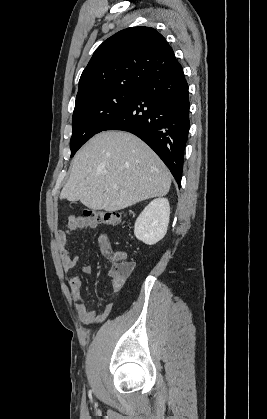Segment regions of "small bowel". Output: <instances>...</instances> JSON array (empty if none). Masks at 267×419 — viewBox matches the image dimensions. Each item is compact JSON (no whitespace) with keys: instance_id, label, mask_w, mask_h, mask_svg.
I'll return each instance as SVG.
<instances>
[{"instance_id":"small-bowel-1","label":"small bowel","mask_w":267,"mask_h":419,"mask_svg":"<svg viewBox=\"0 0 267 419\" xmlns=\"http://www.w3.org/2000/svg\"><path fill=\"white\" fill-rule=\"evenodd\" d=\"M98 223L94 220L85 216H69L63 229L56 233V241L59 247L62 266L64 272H71L76 268L79 263L78 256H72L67 248L69 237L77 230L82 229H96ZM98 245L101 252L109 257L113 256V250L108 236L105 233H100L98 236ZM84 274H91L92 267L86 265L82 268ZM111 278V286L113 293H117L124 286L127 276H116L109 273ZM70 289L76 300L75 308L80 321L84 324H90L95 322H101L105 320L112 309V303H106L102 306V309L88 308L84 300L81 298V279L78 276H72L69 280Z\"/></svg>"}]
</instances>
